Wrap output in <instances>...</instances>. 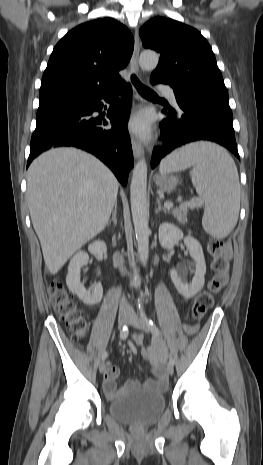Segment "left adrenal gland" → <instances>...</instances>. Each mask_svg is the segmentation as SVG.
Here are the masks:
<instances>
[{"label": "left adrenal gland", "mask_w": 263, "mask_h": 465, "mask_svg": "<svg viewBox=\"0 0 263 465\" xmlns=\"http://www.w3.org/2000/svg\"><path fill=\"white\" fill-rule=\"evenodd\" d=\"M157 203H158V208L156 209V213H159L160 211H164L165 213L167 212V210L165 208L162 207L161 205V202H160V199L157 198Z\"/></svg>", "instance_id": "a2214340"}]
</instances>
